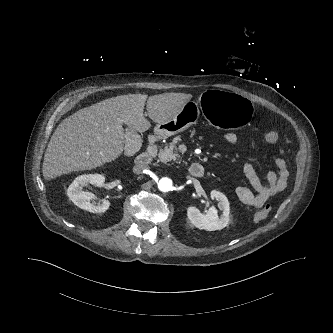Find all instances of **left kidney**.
Wrapping results in <instances>:
<instances>
[{
  "label": "left kidney",
  "instance_id": "1",
  "mask_svg": "<svg viewBox=\"0 0 333 333\" xmlns=\"http://www.w3.org/2000/svg\"><path fill=\"white\" fill-rule=\"evenodd\" d=\"M210 197L212 200H218V207L222 210L220 216L215 207H210L206 214H202L196 207L191 206L187 209V217L190 222L199 229L207 231L221 230L226 227L230 221L229 201L223 193L217 190H212Z\"/></svg>",
  "mask_w": 333,
  "mask_h": 333
}]
</instances>
